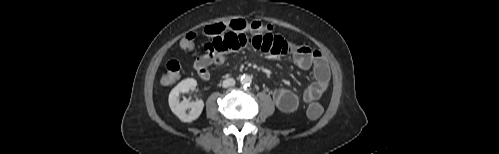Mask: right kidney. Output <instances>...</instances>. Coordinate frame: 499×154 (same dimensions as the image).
Wrapping results in <instances>:
<instances>
[{
	"mask_svg": "<svg viewBox=\"0 0 499 154\" xmlns=\"http://www.w3.org/2000/svg\"><path fill=\"white\" fill-rule=\"evenodd\" d=\"M196 86L197 82L195 79L187 78L175 86L169 94V106L172 112L183 122H192L196 120L203 111L204 103L202 100L195 102H179L180 93H187L190 90H194ZM188 108H191V110L189 113H186Z\"/></svg>",
	"mask_w": 499,
	"mask_h": 154,
	"instance_id": "ca27d5eb",
	"label": "right kidney"
}]
</instances>
